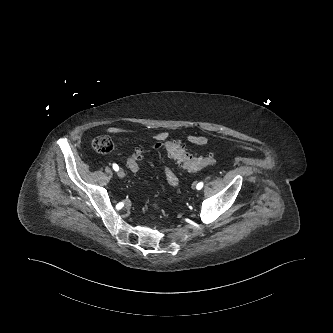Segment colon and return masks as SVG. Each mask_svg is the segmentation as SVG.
Instances as JSON below:
<instances>
[{
	"mask_svg": "<svg viewBox=\"0 0 333 333\" xmlns=\"http://www.w3.org/2000/svg\"><path fill=\"white\" fill-rule=\"evenodd\" d=\"M93 148L100 153H108L113 149V141L109 136H98L92 141ZM155 149L164 148L168 155L175 159L180 167L186 171H198L213 162L212 155L195 156L190 154L185 146L179 141H165L156 143L153 146ZM144 150L142 148L134 149L126 158V166L128 169L137 173L141 168ZM168 184L174 188L178 187L179 180L175 173L168 167L164 170ZM160 208L159 203L153 204V210L157 211Z\"/></svg>",
	"mask_w": 333,
	"mask_h": 333,
	"instance_id": "colon-1",
	"label": "colon"
}]
</instances>
